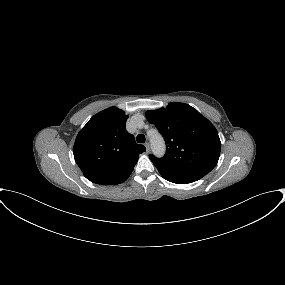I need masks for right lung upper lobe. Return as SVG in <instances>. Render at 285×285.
<instances>
[{"mask_svg":"<svg viewBox=\"0 0 285 285\" xmlns=\"http://www.w3.org/2000/svg\"><path fill=\"white\" fill-rule=\"evenodd\" d=\"M127 119L124 111L110 107L94 115L78 133L74 158L91 182L102 185L124 182L139 154L146 150L126 131Z\"/></svg>","mask_w":285,"mask_h":285,"instance_id":"right-lung-upper-lobe-1","label":"right lung upper lobe"}]
</instances>
